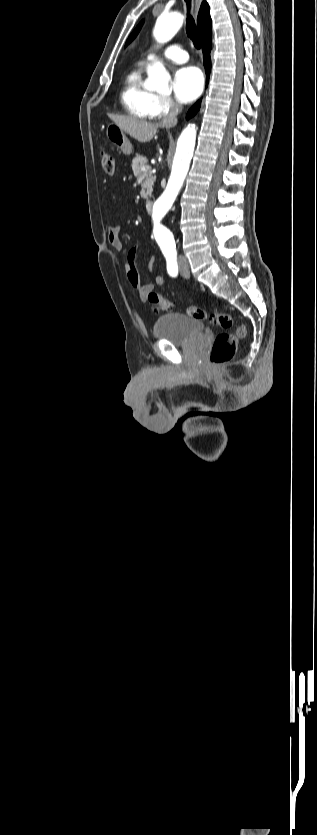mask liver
Listing matches in <instances>:
<instances>
[{
    "label": "liver",
    "mask_w": 317,
    "mask_h": 835,
    "mask_svg": "<svg viewBox=\"0 0 317 835\" xmlns=\"http://www.w3.org/2000/svg\"><path fill=\"white\" fill-rule=\"evenodd\" d=\"M109 118L135 140L146 143L152 140L160 124H154L132 117L109 115Z\"/></svg>",
    "instance_id": "obj_1"
}]
</instances>
